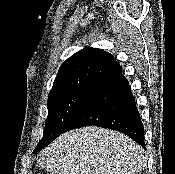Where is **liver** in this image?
I'll return each instance as SVG.
<instances>
[{
	"label": "liver",
	"mask_w": 175,
	"mask_h": 174,
	"mask_svg": "<svg viewBox=\"0 0 175 174\" xmlns=\"http://www.w3.org/2000/svg\"><path fill=\"white\" fill-rule=\"evenodd\" d=\"M146 162L144 149L127 135L96 126L62 134L37 161L50 174H136Z\"/></svg>",
	"instance_id": "6515ba94"
}]
</instances>
